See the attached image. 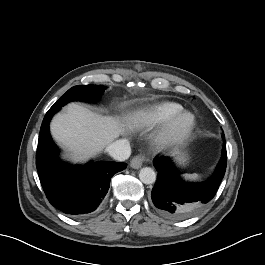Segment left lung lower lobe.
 Listing matches in <instances>:
<instances>
[{"label": "left lung lower lobe", "instance_id": "obj_1", "mask_svg": "<svg viewBox=\"0 0 265 265\" xmlns=\"http://www.w3.org/2000/svg\"><path fill=\"white\" fill-rule=\"evenodd\" d=\"M222 137L225 138L224 134ZM153 164L158 171L157 181L151 192L153 204L162 216L183 220L201 212L216 195L226 171L225 140L215 173L204 182H185L169 157H158Z\"/></svg>", "mask_w": 265, "mask_h": 265}]
</instances>
